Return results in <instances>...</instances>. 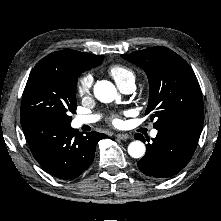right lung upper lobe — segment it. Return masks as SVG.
Instances as JSON below:
<instances>
[{
  "mask_svg": "<svg viewBox=\"0 0 221 221\" xmlns=\"http://www.w3.org/2000/svg\"><path fill=\"white\" fill-rule=\"evenodd\" d=\"M103 59L102 55L62 50L53 52L41 59L33 70H57L77 78L82 72L100 65Z\"/></svg>",
  "mask_w": 221,
  "mask_h": 221,
  "instance_id": "obj_1",
  "label": "right lung upper lobe"
}]
</instances>
